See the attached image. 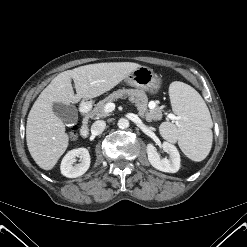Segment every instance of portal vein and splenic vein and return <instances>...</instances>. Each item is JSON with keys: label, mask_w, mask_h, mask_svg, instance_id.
Returning <instances> with one entry per match:
<instances>
[{"label": "portal vein and splenic vein", "mask_w": 247, "mask_h": 247, "mask_svg": "<svg viewBox=\"0 0 247 247\" xmlns=\"http://www.w3.org/2000/svg\"><path fill=\"white\" fill-rule=\"evenodd\" d=\"M115 109V104L114 103H107L105 105V111L107 112H112ZM168 118L171 120H179V117L175 116L174 114L169 113Z\"/></svg>", "instance_id": "18ae733b"}]
</instances>
